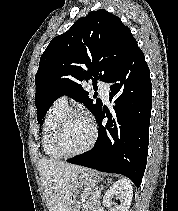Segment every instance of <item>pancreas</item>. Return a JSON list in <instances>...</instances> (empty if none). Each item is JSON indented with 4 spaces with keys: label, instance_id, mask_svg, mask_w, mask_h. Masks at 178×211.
Listing matches in <instances>:
<instances>
[{
    "label": "pancreas",
    "instance_id": "pancreas-1",
    "mask_svg": "<svg viewBox=\"0 0 178 211\" xmlns=\"http://www.w3.org/2000/svg\"><path fill=\"white\" fill-rule=\"evenodd\" d=\"M100 205V195L97 192H92L89 198L86 200L83 205V209L85 211H96L98 206Z\"/></svg>",
    "mask_w": 178,
    "mask_h": 211
}]
</instances>
